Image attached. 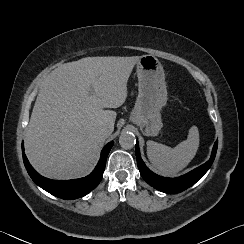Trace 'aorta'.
<instances>
[{"label":"aorta","mask_w":244,"mask_h":244,"mask_svg":"<svg viewBox=\"0 0 244 244\" xmlns=\"http://www.w3.org/2000/svg\"><path fill=\"white\" fill-rule=\"evenodd\" d=\"M136 138L132 132L124 131L121 133L119 137V144L120 146L125 149L129 150L135 146Z\"/></svg>","instance_id":"1"}]
</instances>
